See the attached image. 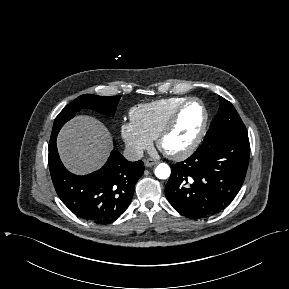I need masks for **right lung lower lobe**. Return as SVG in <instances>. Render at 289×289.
I'll use <instances>...</instances> for the list:
<instances>
[{
  "mask_svg": "<svg viewBox=\"0 0 289 289\" xmlns=\"http://www.w3.org/2000/svg\"><path fill=\"white\" fill-rule=\"evenodd\" d=\"M56 138H50L48 163L55 190L62 202L83 219L98 224L115 221L131 202L136 181L145 169L143 162H129L113 150L101 169L77 176L63 166Z\"/></svg>",
  "mask_w": 289,
  "mask_h": 289,
  "instance_id": "obj_1",
  "label": "right lung lower lobe"
}]
</instances>
